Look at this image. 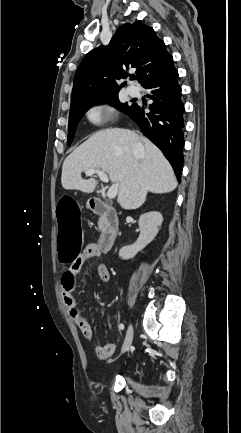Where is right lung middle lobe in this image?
Returning a JSON list of instances; mask_svg holds the SVG:
<instances>
[{
	"label": "right lung middle lobe",
	"instance_id": "dd1d6c3e",
	"mask_svg": "<svg viewBox=\"0 0 241 433\" xmlns=\"http://www.w3.org/2000/svg\"><path fill=\"white\" fill-rule=\"evenodd\" d=\"M101 102H110L114 105H116L121 111H123L125 114H127L131 108L132 105H128L127 103H120L118 100V94H111L99 98L94 99H88V100H82L77 102L76 104L72 105L70 108V115H69V131H68V140L67 145H70L71 142L74 139L75 131L77 128V125L79 121L81 120L84 113L94 104H98Z\"/></svg>",
	"mask_w": 241,
	"mask_h": 433
}]
</instances>
